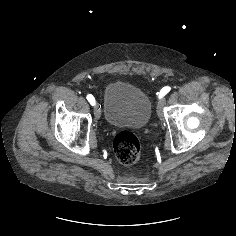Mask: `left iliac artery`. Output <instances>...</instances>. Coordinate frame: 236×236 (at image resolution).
<instances>
[{"label":"left iliac artery","instance_id":"left-iliac-artery-1","mask_svg":"<svg viewBox=\"0 0 236 236\" xmlns=\"http://www.w3.org/2000/svg\"><path fill=\"white\" fill-rule=\"evenodd\" d=\"M170 90L171 88L169 86L163 87L161 91L159 92V98H162L163 96H165Z\"/></svg>","mask_w":236,"mask_h":236}]
</instances>
